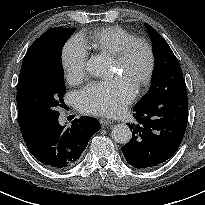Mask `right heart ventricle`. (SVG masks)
<instances>
[{"mask_svg": "<svg viewBox=\"0 0 205 205\" xmlns=\"http://www.w3.org/2000/svg\"><path fill=\"white\" fill-rule=\"evenodd\" d=\"M134 35L120 26H109L96 30L89 39V44L100 52L115 56Z\"/></svg>", "mask_w": 205, "mask_h": 205, "instance_id": "right-heart-ventricle-1", "label": "right heart ventricle"}]
</instances>
